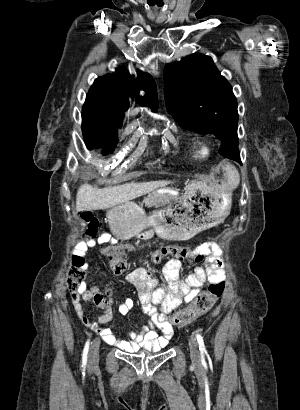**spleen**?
I'll list each match as a JSON object with an SVG mask.
<instances>
[{"instance_id":"3e777b00","label":"spleen","mask_w":300,"mask_h":410,"mask_svg":"<svg viewBox=\"0 0 300 410\" xmlns=\"http://www.w3.org/2000/svg\"><path fill=\"white\" fill-rule=\"evenodd\" d=\"M223 169L226 171L227 182L231 181V186L236 187L240 182L238 171L231 165H225Z\"/></svg>"}]
</instances>
